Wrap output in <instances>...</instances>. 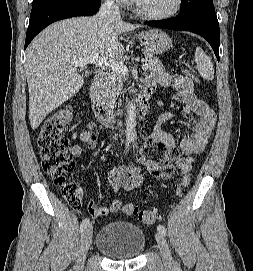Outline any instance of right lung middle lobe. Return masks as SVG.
Returning <instances> with one entry per match:
<instances>
[{"label": "right lung middle lobe", "mask_w": 253, "mask_h": 271, "mask_svg": "<svg viewBox=\"0 0 253 271\" xmlns=\"http://www.w3.org/2000/svg\"><path fill=\"white\" fill-rule=\"evenodd\" d=\"M66 1L72 0H33L31 13H34L35 11L42 9L46 6Z\"/></svg>", "instance_id": "1"}]
</instances>
